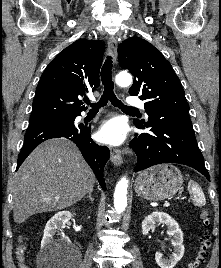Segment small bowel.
Returning <instances> with one entry per match:
<instances>
[{
	"label": "small bowel",
	"mask_w": 221,
	"mask_h": 268,
	"mask_svg": "<svg viewBox=\"0 0 221 268\" xmlns=\"http://www.w3.org/2000/svg\"><path fill=\"white\" fill-rule=\"evenodd\" d=\"M20 262V261H19ZM24 262V261H23ZM25 264V263H24ZM23 268H28L26 265Z\"/></svg>",
	"instance_id": "small-bowel-1"
}]
</instances>
